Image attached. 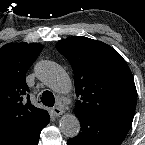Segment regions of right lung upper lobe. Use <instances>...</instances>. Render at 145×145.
Here are the masks:
<instances>
[{"label":"right lung upper lobe","mask_w":145,"mask_h":145,"mask_svg":"<svg viewBox=\"0 0 145 145\" xmlns=\"http://www.w3.org/2000/svg\"><path fill=\"white\" fill-rule=\"evenodd\" d=\"M42 49L25 42L0 48V144L48 114L31 104L25 77Z\"/></svg>","instance_id":"right-lung-upper-lobe-1"}]
</instances>
